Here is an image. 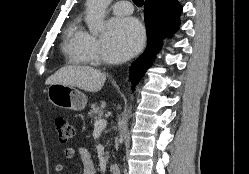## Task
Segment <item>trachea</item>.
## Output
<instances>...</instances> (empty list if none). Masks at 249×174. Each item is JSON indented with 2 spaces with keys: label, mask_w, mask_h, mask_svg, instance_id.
<instances>
[{
  "label": "trachea",
  "mask_w": 249,
  "mask_h": 174,
  "mask_svg": "<svg viewBox=\"0 0 249 174\" xmlns=\"http://www.w3.org/2000/svg\"><path fill=\"white\" fill-rule=\"evenodd\" d=\"M132 1L135 3V5H137L139 7H141L144 3V0H132Z\"/></svg>",
  "instance_id": "trachea-1"
}]
</instances>
